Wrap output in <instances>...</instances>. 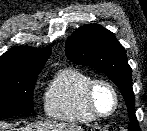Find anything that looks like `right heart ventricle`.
Masks as SVG:
<instances>
[{
	"mask_svg": "<svg viewBox=\"0 0 147 131\" xmlns=\"http://www.w3.org/2000/svg\"><path fill=\"white\" fill-rule=\"evenodd\" d=\"M92 79L91 75L78 68L60 69L45 91L46 114L54 120L75 124L95 121L85 103V90Z\"/></svg>",
	"mask_w": 147,
	"mask_h": 131,
	"instance_id": "1",
	"label": "right heart ventricle"
}]
</instances>
